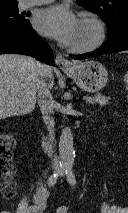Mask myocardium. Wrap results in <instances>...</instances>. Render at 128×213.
<instances>
[{"mask_svg":"<svg viewBox=\"0 0 128 213\" xmlns=\"http://www.w3.org/2000/svg\"><path fill=\"white\" fill-rule=\"evenodd\" d=\"M80 20L91 23L96 29V36L88 44L80 46L71 45L69 49L70 51L76 53H87L97 49L102 45L106 38V27L104 22L97 15L90 12H83L80 15Z\"/></svg>","mask_w":128,"mask_h":213,"instance_id":"f54148a6","label":"myocardium"}]
</instances>
